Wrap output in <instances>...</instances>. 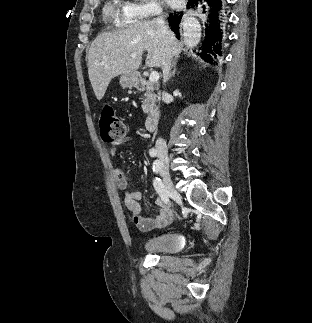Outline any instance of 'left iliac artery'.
<instances>
[{"instance_id": "1", "label": "left iliac artery", "mask_w": 312, "mask_h": 323, "mask_svg": "<svg viewBox=\"0 0 312 323\" xmlns=\"http://www.w3.org/2000/svg\"><path fill=\"white\" fill-rule=\"evenodd\" d=\"M153 171H157V169L155 168V166L153 165Z\"/></svg>"}]
</instances>
